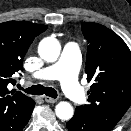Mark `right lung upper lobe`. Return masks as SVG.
I'll list each match as a JSON object with an SVG mask.
<instances>
[{"mask_svg": "<svg viewBox=\"0 0 131 131\" xmlns=\"http://www.w3.org/2000/svg\"><path fill=\"white\" fill-rule=\"evenodd\" d=\"M46 29V25L26 21L0 24V131H20L31 116L34 100L8 85L15 84L13 74L22 70L29 46Z\"/></svg>", "mask_w": 131, "mask_h": 131, "instance_id": "1", "label": "right lung upper lobe"}]
</instances>
